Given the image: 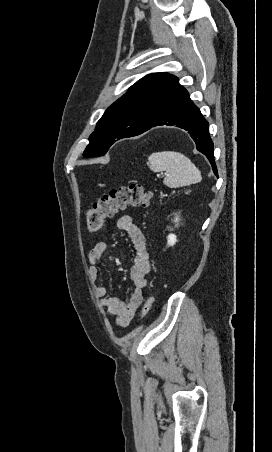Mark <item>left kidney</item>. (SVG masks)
Here are the masks:
<instances>
[{
    "instance_id": "5707ae66",
    "label": "left kidney",
    "mask_w": 272,
    "mask_h": 452,
    "mask_svg": "<svg viewBox=\"0 0 272 452\" xmlns=\"http://www.w3.org/2000/svg\"><path fill=\"white\" fill-rule=\"evenodd\" d=\"M179 220H180L179 217L176 216L175 219H174V222H175V223H178ZM176 242H177V238H176V235H175V234H169V235L167 236V244H168L169 246L175 245Z\"/></svg>"
}]
</instances>
